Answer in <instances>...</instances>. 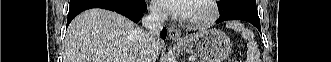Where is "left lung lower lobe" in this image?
Wrapping results in <instances>:
<instances>
[{
	"instance_id": "left-lung-lower-lobe-1",
	"label": "left lung lower lobe",
	"mask_w": 331,
	"mask_h": 62,
	"mask_svg": "<svg viewBox=\"0 0 331 62\" xmlns=\"http://www.w3.org/2000/svg\"><path fill=\"white\" fill-rule=\"evenodd\" d=\"M228 20L245 21L254 25L258 30L261 31L258 11H252L241 7L234 8L227 12H223L220 18L216 21V23H220Z\"/></svg>"
}]
</instances>
